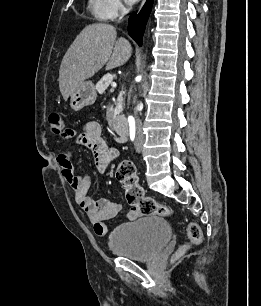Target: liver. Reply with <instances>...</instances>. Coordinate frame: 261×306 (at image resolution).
<instances>
[{
  "label": "liver",
  "instance_id": "liver-1",
  "mask_svg": "<svg viewBox=\"0 0 261 306\" xmlns=\"http://www.w3.org/2000/svg\"><path fill=\"white\" fill-rule=\"evenodd\" d=\"M109 24L86 26L64 55L59 70V88L66 101L86 79L104 65L110 70L125 64L132 54L129 41L120 37Z\"/></svg>",
  "mask_w": 261,
  "mask_h": 306
}]
</instances>
